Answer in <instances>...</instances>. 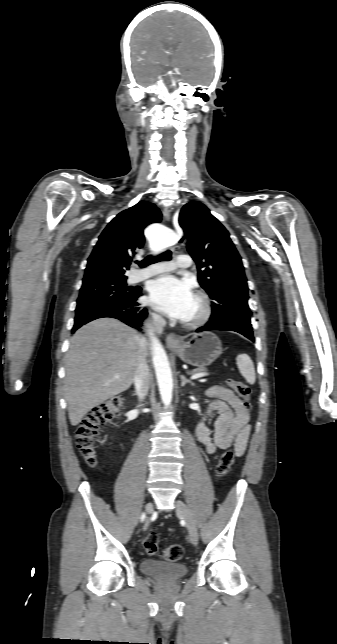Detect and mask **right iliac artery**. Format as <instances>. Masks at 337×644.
<instances>
[{
	"instance_id": "obj_1",
	"label": "right iliac artery",
	"mask_w": 337,
	"mask_h": 644,
	"mask_svg": "<svg viewBox=\"0 0 337 644\" xmlns=\"http://www.w3.org/2000/svg\"><path fill=\"white\" fill-rule=\"evenodd\" d=\"M144 519H145V514L143 513L141 516V521H143Z\"/></svg>"
}]
</instances>
